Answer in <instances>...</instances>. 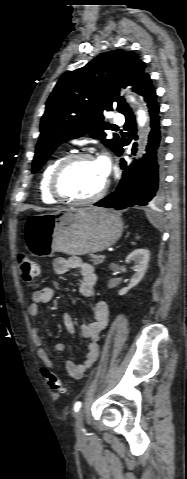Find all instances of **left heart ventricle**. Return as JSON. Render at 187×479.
<instances>
[{
    "label": "left heart ventricle",
    "instance_id": "1",
    "mask_svg": "<svg viewBox=\"0 0 187 479\" xmlns=\"http://www.w3.org/2000/svg\"><path fill=\"white\" fill-rule=\"evenodd\" d=\"M105 180L95 159H83L66 170L61 180V189L73 197L87 198L96 194Z\"/></svg>",
    "mask_w": 187,
    "mask_h": 479
}]
</instances>
